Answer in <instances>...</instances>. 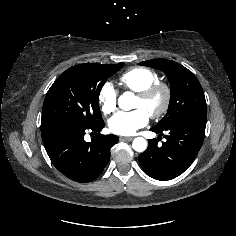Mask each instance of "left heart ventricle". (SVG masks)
<instances>
[{"instance_id":"obj_1","label":"left heart ventricle","mask_w":236,"mask_h":236,"mask_svg":"<svg viewBox=\"0 0 236 236\" xmlns=\"http://www.w3.org/2000/svg\"><path fill=\"white\" fill-rule=\"evenodd\" d=\"M161 104H162V96L160 94L153 96L149 100H143L137 96L134 108H142L148 114H150L151 112L158 110L161 107Z\"/></svg>"}]
</instances>
